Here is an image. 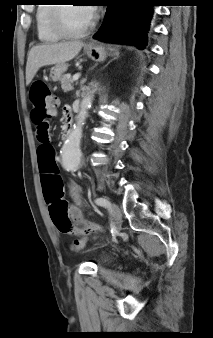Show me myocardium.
<instances>
[{"instance_id": "obj_1", "label": "myocardium", "mask_w": 213, "mask_h": 338, "mask_svg": "<svg viewBox=\"0 0 213 338\" xmlns=\"http://www.w3.org/2000/svg\"><path fill=\"white\" fill-rule=\"evenodd\" d=\"M71 6V5H55V7H52L51 10V20H50V27L53 30L54 33H56L61 38H67V39H77L82 38L89 34L95 27V22H91L88 27L85 29L79 31V32H71L67 30L62 21V10L63 8Z\"/></svg>"}]
</instances>
